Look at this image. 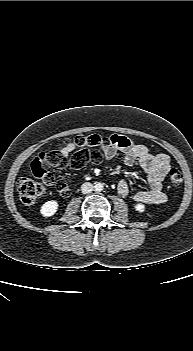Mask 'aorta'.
Masks as SVG:
<instances>
[{
	"label": "aorta",
	"mask_w": 193,
	"mask_h": 351,
	"mask_svg": "<svg viewBox=\"0 0 193 351\" xmlns=\"http://www.w3.org/2000/svg\"><path fill=\"white\" fill-rule=\"evenodd\" d=\"M94 189H95V191H97V192H101V191L103 190V184L100 183V182L95 183Z\"/></svg>",
	"instance_id": "obj_1"
}]
</instances>
